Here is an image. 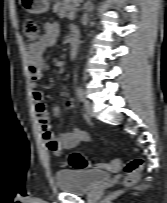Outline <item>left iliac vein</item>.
Wrapping results in <instances>:
<instances>
[{
    "instance_id": "obj_1",
    "label": "left iliac vein",
    "mask_w": 167,
    "mask_h": 203,
    "mask_svg": "<svg viewBox=\"0 0 167 203\" xmlns=\"http://www.w3.org/2000/svg\"><path fill=\"white\" fill-rule=\"evenodd\" d=\"M84 108L89 116H94V106L90 101H85Z\"/></svg>"
}]
</instances>
